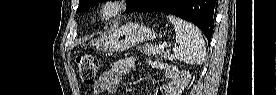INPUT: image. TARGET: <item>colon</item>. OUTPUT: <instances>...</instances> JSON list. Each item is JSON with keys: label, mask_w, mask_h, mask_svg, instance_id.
Here are the masks:
<instances>
[{"label": "colon", "mask_w": 277, "mask_h": 95, "mask_svg": "<svg viewBox=\"0 0 277 95\" xmlns=\"http://www.w3.org/2000/svg\"><path fill=\"white\" fill-rule=\"evenodd\" d=\"M77 69L81 79L88 85L95 82L97 71H98V61L92 55H84L78 57Z\"/></svg>", "instance_id": "1"}]
</instances>
